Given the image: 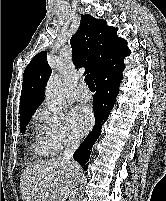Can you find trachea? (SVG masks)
<instances>
[{"label": "trachea", "instance_id": "3493384b", "mask_svg": "<svg viewBox=\"0 0 166 201\" xmlns=\"http://www.w3.org/2000/svg\"><path fill=\"white\" fill-rule=\"evenodd\" d=\"M85 82L91 90H95V84H94V81L90 75H87L85 77Z\"/></svg>", "mask_w": 166, "mask_h": 201}]
</instances>
